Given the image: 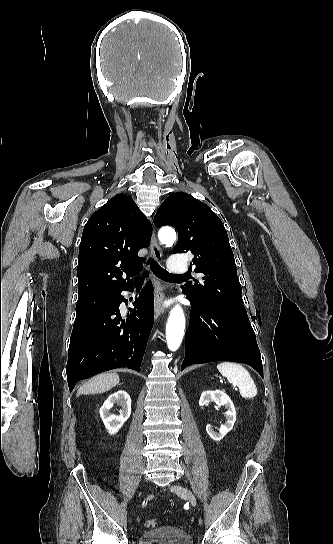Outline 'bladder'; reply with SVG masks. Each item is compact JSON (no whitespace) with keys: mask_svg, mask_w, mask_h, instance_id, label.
I'll return each mask as SVG.
<instances>
[{"mask_svg":"<svg viewBox=\"0 0 333 544\" xmlns=\"http://www.w3.org/2000/svg\"><path fill=\"white\" fill-rule=\"evenodd\" d=\"M138 544H194L191 536L184 530L174 527H160L141 535Z\"/></svg>","mask_w":333,"mask_h":544,"instance_id":"bladder-1","label":"bladder"}]
</instances>
